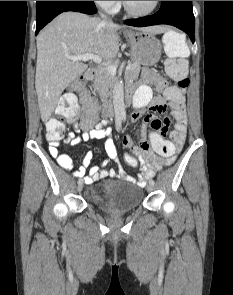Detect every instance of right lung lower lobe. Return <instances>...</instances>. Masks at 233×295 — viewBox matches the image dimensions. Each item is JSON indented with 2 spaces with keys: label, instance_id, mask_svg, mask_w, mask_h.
<instances>
[{
  "label": "right lung lower lobe",
  "instance_id": "obj_1",
  "mask_svg": "<svg viewBox=\"0 0 233 295\" xmlns=\"http://www.w3.org/2000/svg\"><path fill=\"white\" fill-rule=\"evenodd\" d=\"M66 11L94 14L96 6L93 1H37L36 35L54 17Z\"/></svg>",
  "mask_w": 233,
  "mask_h": 295
}]
</instances>
